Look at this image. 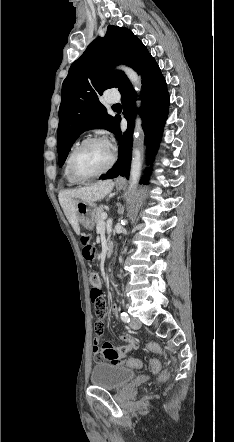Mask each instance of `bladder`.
<instances>
[{
    "mask_svg": "<svg viewBox=\"0 0 234 442\" xmlns=\"http://www.w3.org/2000/svg\"><path fill=\"white\" fill-rule=\"evenodd\" d=\"M136 376V372L128 367L99 364L96 365L90 375L92 385L107 389H119L127 385Z\"/></svg>",
    "mask_w": 234,
    "mask_h": 442,
    "instance_id": "31cf9c89",
    "label": "bladder"
}]
</instances>
